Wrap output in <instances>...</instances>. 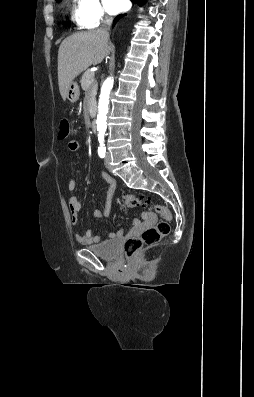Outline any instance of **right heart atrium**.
<instances>
[{"mask_svg": "<svg viewBox=\"0 0 254 397\" xmlns=\"http://www.w3.org/2000/svg\"><path fill=\"white\" fill-rule=\"evenodd\" d=\"M77 23L82 28H96L110 20L99 0H77Z\"/></svg>", "mask_w": 254, "mask_h": 397, "instance_id": "obj_1", "label": "right heart atrium"}]
</instances>
